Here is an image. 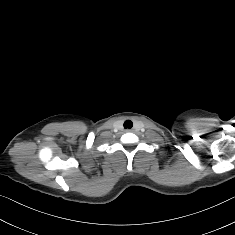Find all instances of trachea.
<instances>
[{"label": "trachea", "mask_w": 235, "mask_h": 235, "mask_svg": "<svg viewBox=\"0 0 235 235\" xmlns=\"http://www.w3.org/2000/svg\"><path fill=\"white\" fill-rule=\"evenodd\" d=\"M132 126H133V123H132V121H130V120H126L125 122H124V128H132Z\"/></svg>", "instance_id": "trachea-1"}]
</instances>
